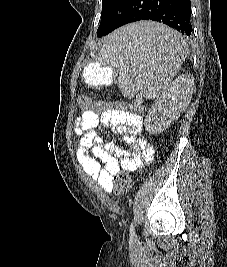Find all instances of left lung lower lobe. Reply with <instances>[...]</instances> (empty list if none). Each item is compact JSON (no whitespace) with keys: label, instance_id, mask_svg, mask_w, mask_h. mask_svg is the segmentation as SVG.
I'll return each mask as SVG.
<instances>
[{"label":"left lung lower lobe","instance_id":"left-lung-lower-lobe-1","mask_svg":"<svg viewBox=\"0 0 227 267\" xmlns=\"http://www.w3.org/2000/svg\"><path fill=\"white\" fill-rule=\"evenodd\" d=\"M122 11L110 22L98 28V37L140 20L164 23L184 36H190L192 33L190 0H128ZM143 44L149 48L173 46L169 40H158L148 35L143 37Z\"/></svg>","mask_w":227,"mask_h":267}]
</instances>
